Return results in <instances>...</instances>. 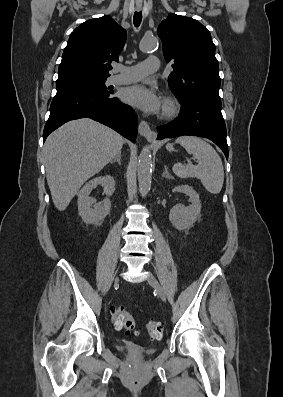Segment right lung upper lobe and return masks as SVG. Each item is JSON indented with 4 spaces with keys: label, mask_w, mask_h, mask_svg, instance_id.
<instances>
[{
    "label": "right lung upper lobe",
    "mask_w": 283,
    "mask_h": 397,
    "mask_svg": "<svg viewBox=\"0 0 283 397\" xmlns=\"http://www.w3.org/2000/svg\"><path fill=\"white\" fill-rule=\"evenodd\" d=\"M126 30L110 16L90 19L71 34L58 70V80L76 77L107 78L110 62L118 61Z\"/></svg>",
    "instance_id": "right-lung-upper-lobe-1"
}]
</instances>
